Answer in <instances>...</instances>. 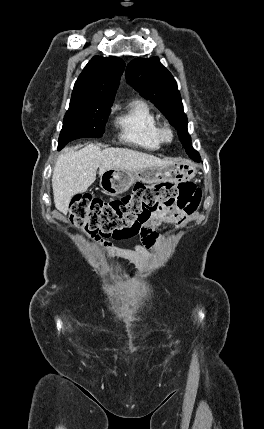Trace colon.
I'll return each mask as SVG.
<instances>
[{"mask_svg":"<svg viewBox=\"0 0 264 429\" xmlns=\"http://www.w3.org/2000/svg\"><path fill=\"white\" fill-rule=\"evenodd\" d=\"M201 190L190 182L157 185L137 184L131 193L105 201L90 195L73 198L69 221L94 238L128 237L137 233L154 215L178 209L193 214L201 201Z\"/></svg>","mask_w":264,"mask_h":429,"instance_id":"colon-1","label":"colon"}]
</instances>
